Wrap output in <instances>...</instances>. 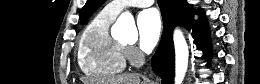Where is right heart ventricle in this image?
I'll return each mask as SVG.
<instances>
[{"label":"right heart ventricle","mask_w":260,"mask_h":84,"mask_svg":"<svg viewBox=\"0 0 260 84\" xmlns=\"http://www.w3.org/2000/svg\"><path fill=\"white\" fill-rule=\"evenodd\" d=\"M115 17L105 10L100 11L82 34L78 64L81 71L90 78H109L125 68V48L109 32Z\"/></svg>","instance_id":"obj_1"}]
</instances>
